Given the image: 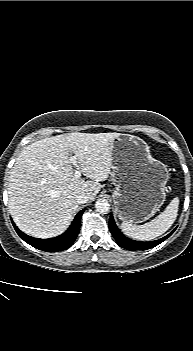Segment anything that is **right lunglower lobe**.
Here are the masks:
<instances>
[{"label": "right lung lower lobe", "mask_w": 193, "mask_h": 351, "mask_svg": "<svg viewBox=\"0 0 193 351\" xmlns=\"http://www.w3.org/2000/svg\"><path fill=\"white\" fill-rule=\"evenodd\" d=\"M84 212V209L81 210L76 216L75 219L73 220L71 226L69 229L63 233L62 235L55 237V238H50V239H38V238H33L31 236L26 235L22 231H20L16 225L13 223V226L18 233V235L28 244L33 246L34 248H37L42 251L46 252H58L62 250L68 249L75 241L79 230H80V220L81 216Z\"/></svg>", "instance_id": "98d812e1"}]
</instances>
